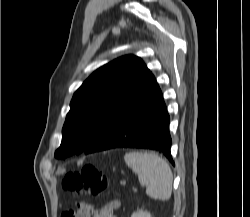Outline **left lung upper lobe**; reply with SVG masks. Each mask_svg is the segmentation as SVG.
<instances>
[{"instance_id": "obj_1", "label": "left lung upper lobe", "mask_w": 250, "mask_h": 217, "mask_svg": "<svg viewBox=\"0 0 250 217\" xmlns=\"http://www.w3.org/2000/svg\"><path fill=\"white\" fill-rule=\"evenodd\" d=\"M149 73L143 61L134 55L118 58L96 70L73 95L55 156L66 158L85 152Z\"/></svg>"}]
</instances>
